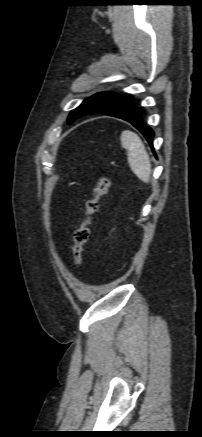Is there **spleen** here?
I'll return each mask as SVG.
<instances>
[{
	"label": "spleen",
	"mask_w": 202,
	"mask_h": 437,
	"mask_svg": "<svg viewBox=\"0 0 202 437\" xmlns=\"http://www.w3.org/2000/svg\"><path fill=\"white\" fill-rule=\"evenodd\" d=\"M120 140L121 146L127 151L131 170L140 180L148 183L151 176V162L141 139L134 132L125 130Z\"/></svg>",
	"instance_id": "spleen-1"
}]
</instances>
